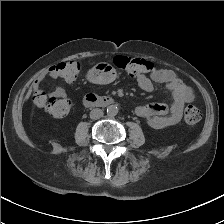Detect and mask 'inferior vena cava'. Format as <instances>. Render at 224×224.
<instances>
[{
	"instance_id": "obj_1",
	"label": "inferior vena cava",
	"mask_w": 224,
	"mask_h": 224,
	"mask_svg": "<svg viewBox=\"0 0 224 224\" xmlns=\"http://www.w3.org/2000/svg\"><path fill=\"white\" fill-rule=\"evenodd\" d=\"M103 111L99 108H95L90 112L91 119H99L103 116Z\"/></svg>"
}]
</instances>
